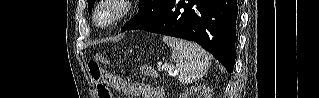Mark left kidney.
Segmentation results:
<instances>
[{
    "instance_id": "left-kidney-1",
    "label": "left kidney",
    "mask_w": 319,
    "mask_h": 98,
    "mask_svg": "<svg viewBox=\"0 0 319 98\" xmlns=\"http://www.w3.org/2000/svg\"><path fill=\"white\" fill-rule=\"evenodd\" d=\"M211 98V89L206 85L193 86L182 93L179 98Z\"/></svg>"
}]
</instances>
